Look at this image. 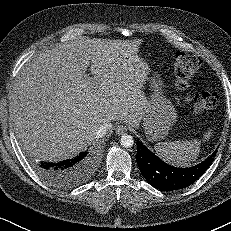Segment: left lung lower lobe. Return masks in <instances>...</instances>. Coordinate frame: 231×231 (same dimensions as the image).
Masks as SVG:
<instances>
[{
    "mask_svg": "<svg viewBox=\"0 0 231 231\" xmlns=\"http://www.w3.org/2000/svg\"><path fill=\"white\" fill-rule=\"evenodd\" d=\"M217 151L190 168H177L163 162L140 141H137L136 161L145 179L162 191L183 189L199 179L211 165Z\"/></svg>",
    "mask_w": 231,
    "mask_h": 231,
    "instance_id": "0a47b994",
    "label": "left lung lower lobe"
}]
</instances>
